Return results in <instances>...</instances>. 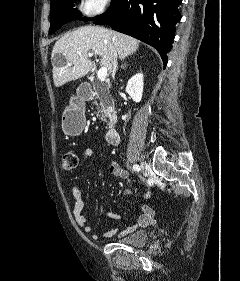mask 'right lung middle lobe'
I'll return each mask as SVG.
<instances>
[{
    "label": "right lung middle lobe",
    "mask_w": 240,
    "mask_h": 281,
    "mask_svg": "<svg viewBox=\"0 0 240 281\" xmlns=\"http://www.w3.org/2000/svg\"><path fill=\"white\" fill-rule=\"evenodd\" d=\"M116 1L117 0L111 1V5H110L109 9H111L113 7V5L116 3ZM73 2H75V0H51L50 1V22H51V26H50V29H49V34L54 33L63 24H65L69 21L76 20V19L83 20V21L88 20L86 18H80L79 17L80 13L78 12L77 9L73 8V6H74ZM100 16L101 15L94 17L93 20L99 18Z\"/></svg>",
    "instance_id": "right-lung-middle-lobe-1"
}]
</instances>
